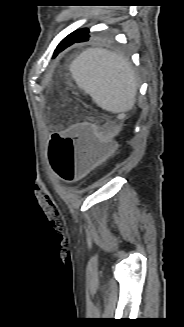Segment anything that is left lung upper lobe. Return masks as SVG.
I'll return each mask as SVG.
<instances>
[{
    "instance_id": "5c2ea615",
    "label": "left lung upper lobe",
    "mask_w": 184,
    "mask_h": 327,
    "mask_svg": "<svg viewBox=\"0 0 184 327\" xmlns=\"http://www.w3.org/2000/svg\"><path fill=\"white\" fill-rule=\"evenodd\" d=\"M78 34L81 35V36H84V35H88L89 34V29L85 28V29H80L78 30Z\"/></svg>"
}]
</instances>
